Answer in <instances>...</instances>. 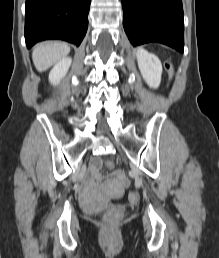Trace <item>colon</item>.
<instances>
[{
    "label": "colon",
    "mask_w": 219,
    "mask_h": 258,
    "mask_svg": "<svg viewBox=\"0 0 219 258\" xmlns=\"http://www.w3.org/2000/svg\"><path fill=\"white\" fill-rule=\"evenodd\" d=\"M166 68L168 70V73L170 75V77H173L174 74V66L171 62H167L166 63ZM139 195L138 192L136 191H132L129 193L128 195V199L131 202H134L138 199ZM121 218V210L117 207L111 208L104 217V223L106 225L107 228L112 229L114 228L117 223L119 222Z\"/></svg>",
    "instance_id": "5ec220e1"
}]
</instances>
